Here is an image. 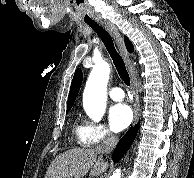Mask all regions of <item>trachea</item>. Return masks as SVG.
Here are the masks:
<instances>
[{
	"mask_svg": "<svg viewBox=\"0 0 194 178\" xmlns=\"http://www.w3.org/2000/svg\"><path fill=\"white\" fill-rule=\"evenodd\" d=\"M88 25L97 33V35L100 37V39L104 43L109 55L111 56L113 60V63L116 67V70L121 80L127 86H130V77H129L128 71L126 70L125 63L122 57L117 52L110 34L97 23H89Z\"/></svg>",
	"mask_w": 194,
	"mask_h": 178,
	"instance_id": "3493384b",
	"label": "trachea"
}]
</instances>
